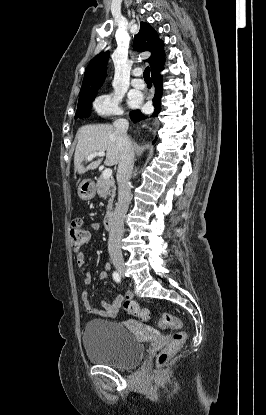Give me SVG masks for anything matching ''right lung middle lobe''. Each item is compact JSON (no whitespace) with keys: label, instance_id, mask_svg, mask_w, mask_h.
Returning <instances> with one entry per match:
<instances>
[{"label":"right lung middle lobe","instance_id":"1","mask_svg":"<svg viewBox=\"0 0 266 415\" xmlns=\"http://www.w3.org/2000/svg\"><path fill=\"white\" fill-rule=\"evenodd\" d=\"M97 92L90 93L85 96L79 97L78 107L75 114V118H86L89 116L92 101L94 100Z\"/></svg>","mask_w":266,"mask_h":415}]
</instances>
